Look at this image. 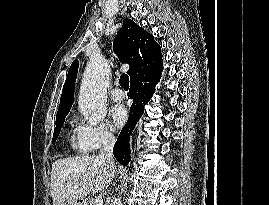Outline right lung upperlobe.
Segmentation results:
<instances>
[{"mask_svg":"<svg viewBox=\"0 0 269 205\" xmlns=\"http://www.w3.org/2000/svg\"><path fill=\"white\" fill-rule=\"evenodd\" d=\"M113 49L119 55L122 63L130 65L127 73L131 83L151 74L161 76L163 60L160 45L155 42L152 34L139 27L132 20L126 19L124 21L115 37ZM78 66L77 60L70 66L56 118L66 116L74 102L73 92Z\"/></svg>","mask_w":269,"mask_h":205,"instance_id":"obj_1","label":"right lung upper lobe"}]
</instances>
